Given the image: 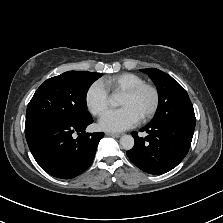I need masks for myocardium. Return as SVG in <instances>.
<instances>
[{"label": "myocardium", "mask_w": 223, "mask_h": 223, "mask_svg": "<svg viewBox=\"0 0 223 223\" xmlns=\"http://www.w3.org/2000/svg\"><path fill=\"white\" fill-rule=\"evenodd\" d=\"M144 90H148L151 95H152V105L150 107V109L141 116V120H145L148 119L150 117H152L159 106V93L158 90L156 89V87H154L151 84H147V83H142L134 88H132L131 90H128L126 92H124L122 95L127 96V97H135L138 94H140L142 91Z\"/></svg>", "instance_id": "f54148a6"}]
</instances>
